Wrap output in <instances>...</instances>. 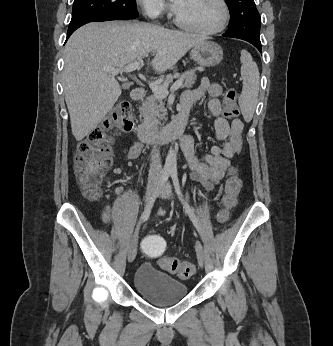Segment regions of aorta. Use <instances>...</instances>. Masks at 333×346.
<instances>
[{"label":"aorta","instance_id":"obj_1","mask_svg":"<svg viewBox=\"0 0 333 346\" xmlns=\"http://www.w3.org/2000/svg\"><path fill=\"white\" fill-rule=\"evenodd\" d=\"M165 167L170 169L176 168V153L172 148H170V150L168 151L165 161Z\"/></svg>","mask_w":333,"mask_h":346}]
</instances>
